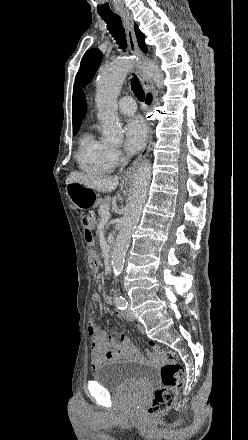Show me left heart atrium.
Here are the masks:
<instances>
[{
    "mask_svg": "<svg viewBox=\"0 0 248 440\" xmlns=\"http://www.w3.org/2000/svg\"><path fill=\"white\" fill-rule=\"evenodd\" d=\"M147 131L140 117L130 118L124 128L125 150L129 154L136 153L144 144Z\"/></svg>",
    "mask_w": 248,
    "mask_h": 440,
    "instance_id": "1",
    "label": "left heart atrium"
}]
</instances>
